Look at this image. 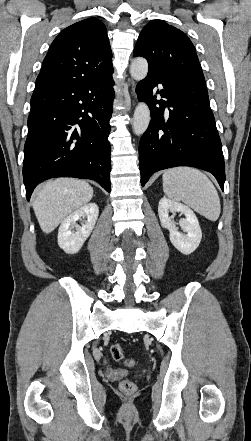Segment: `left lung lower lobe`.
Instances as JSON below:
<instances>
[{"instance_id": "0a47b994", "label": "left lung lower lobe", "mask_w": 251, "mask_h": 441, "mask_svg": "<svg viewBox=\"0 0 251 441\" xmlns=\"http://www.w3.org/2000/svg\"><path fill=\"white\" fill-rule=\"evenodd\" d=\"M159 84L161 89L156 94L161 99L157 100L154 88ZM136 93L151 111V122L139 144L142 186L156 171L191 166L212 173L223 190L222 145L206 84L183 76L148 72L138 83Z\"/></svg>"}]
</instances>
